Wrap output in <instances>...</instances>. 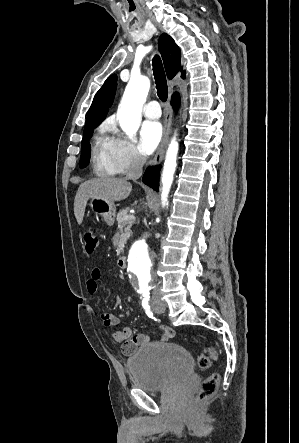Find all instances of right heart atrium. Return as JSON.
I'll return each mask as SVG.
<instances>
[{
    "label": "right heart atrium",
    "mask_w": 299,
    "mask_h": 443,
    "mask_svg": "<svg viewBox=\"0 0 299 443\" xmlns=\"http://www.w3.org/2000/svg\"><path fill=\"white\" fill-rule=\"evenodd\" d=\"M105 128L115 135L112 138L113 156L118 172L126 173L141 168L145 163V156L138 146L121 135L112 124Z\"/></svg>",
    "instance_id": "1"
}]
</instances>
